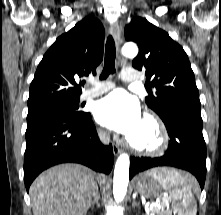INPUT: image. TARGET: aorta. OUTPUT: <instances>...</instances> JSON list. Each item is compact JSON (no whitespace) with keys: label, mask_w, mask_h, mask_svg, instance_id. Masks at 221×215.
<instances>
[{"label":"aorta","mask_w":221,"mask_h":215,"mask_svg":"<svg viewBox=\"0 0 221 215\" xmlns=\"http://www.w3.org/2000/svg\"><path fill=\"white\" fill-rule=\"evenodd\" d=\"M125 57H135L138 53V48L134 43H125L121 50ZM129 166L130 159L126 153L121 154L115 164L114 180H113V195L116 202H121L127 192L129 182Z\"/></svg>","instance_id":"1"}]
</instances>
